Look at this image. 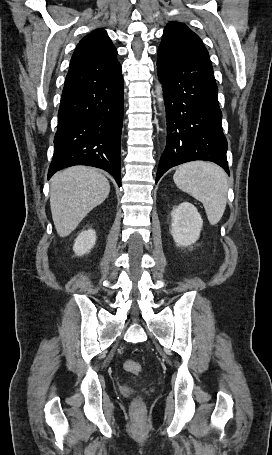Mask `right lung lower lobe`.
Listing matches in <instances>:
<instances>
[{
	"label": "right lung lower lobe",
	"instance_id": "98d812e1",
	"mask_svg": "<svg viewBox=\"0 0 272 455\" xmlns=\"http://www.w3.org/2000/svg\"><path fill=\"white\" fill-rule=\"evenodd\" d=\"M121 72L62 92L48 179L58 170L88 165L109 172L121 186Z\"/></svg>",
	"mask_w": 272,
	"mask_h": 455
}]
</instances>
